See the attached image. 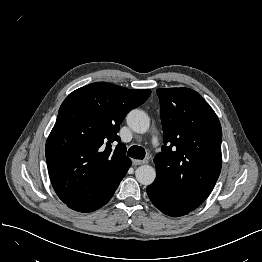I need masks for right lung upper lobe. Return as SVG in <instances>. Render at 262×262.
Wrapping results in <instances>:
<instances>
[{
	"label": "right lung upper lobe",
	"mask_w": 262,
	"mask_h": 262,
	"mask_svg": "<svg viewBox=\"0 0 262 262\" xmlns=\"http://www.w3.org/2000/svg\"><path fill=\"white\" fill-rule=\"evenodd\" d=\"M151 90H131L107 82L69 94L47 139L45 154L52 186L68 206L93 205L111 197L131 160L117 135L126 114Z\"/></svg>",
	"instance_id": "cb5924a9"
}]
</instances>
